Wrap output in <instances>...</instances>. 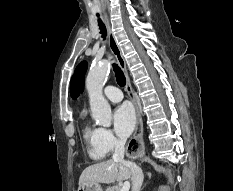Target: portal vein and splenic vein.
<instances>
[{
  "mask_svg": "<svg viewBox=\"0 0 233 191\" xmlns=\"http://www.w3.org/2000/svg\"><path fill=\"white\" fill-rule=\"evenodd\" d=\"M129 189H130V182L125 181L120 191H129Z\"/></svg>",
  "mask_w": 233,
  "mask_h": 191,
  "instance_id": "18ae733b",
  "label": "portal vein and splenic vein"
}]
</instances>
